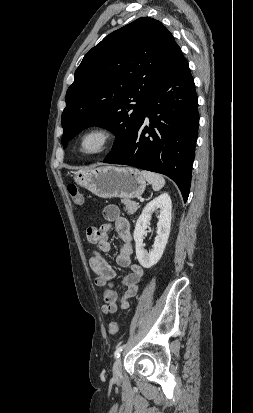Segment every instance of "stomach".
Wrapping results in <instances>:
<instances>
[{
    "instance_id": "obj_1",
    "label": "stomach",
    "mask_w": 253,
    "mask_h": 413,
    "mask_svg": "<svg viewBox=\"0 0 253 413\" xmlns=\"http://www.w3.org/2000/svg\"><path fill=\"white\" fill-rule=\"evenodd\" d=\"M74 180L100 198L131 199L143 194L146 181L133 167L103 166L74 173Z\"/></svg>"
}]
</instances>
